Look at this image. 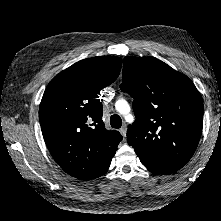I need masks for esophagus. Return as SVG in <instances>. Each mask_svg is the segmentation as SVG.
<instances>
[{
  "label": "esophagus",
  "instance_id": "1",
  "mask_svg": "<svg viewBox=\"0 0 221 221\" xmlns=\"http://www.w3.org/2000/svg\"><path fill=\"white\" fill-rule=\"evenodd\" d=\"M120 133L124 138L126 137V126L125 125L120 129Z\"/></svg>",
  "mask_w": 221,
  "mask_h": 221
}]
</instances>
